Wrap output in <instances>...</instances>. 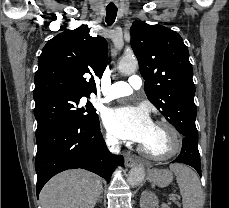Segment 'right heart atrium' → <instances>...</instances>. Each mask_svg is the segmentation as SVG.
I'll list each match as a JSON object with an SVG mask.
<instances>
[{
  "label": "right heart atrium",
  "instance_id": "1",
  "mask_svg": "<svg viewBox=\"0 0 229 208\" xmlns=\"http://www.w3.org/2000/svg\"><path fill=\"white\" fill-rule=\"evenodd\" d=\"M105 140L110 147H117L119 145L118 139L110 133L106 134Z\"/></svg>",
  "mask_w": 229,
  "mask_h": 208
}]
</instances>
